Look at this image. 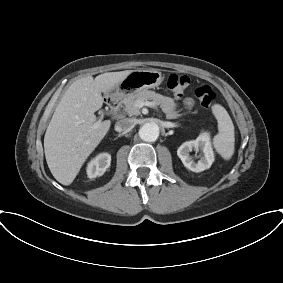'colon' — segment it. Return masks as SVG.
I'll return each mask as SVG.
<instances>
[{"instance_id":"5ec220e1","label":"colon","mask_w":283,"mask_h":283,"mask_svg":"<svg viewBox=\"0 0 283 283\" xmlns=\"http://www.w3.org/2000/svg\"><path fill=\"white\" fill-rule=\"evenodd\" d=\"M190 79L187 76L173 74L169 76L167 81L168 88L175 96H181L189 87ZM194 94L199 100L200 104L205 108L212 107L216 95L214 91L207 85L198 86L194 90Z\"/></svg>"}]
</instances>
